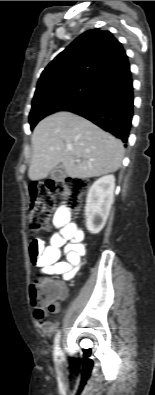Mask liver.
I'll use <instances>...</instances> for the list:
<instances>
[{"label": "liver", "mask_w": 155, "mask_h": 395, "mask_svg": "<svg viewBox=\"0 0 155 395\" xmlns=\"http://www.w3.org/2000/svg\"><path fill=\"white\" fill-rule=\"evenodd\" d=\"M30 180L46 178L59 164L71 178H91L116 172L124 156L123 143L89 120L57 112L35 127ZM80 161L77 162L76 160Z\"/></svg>", "instance_id": "liver-1"}]
</instances>
